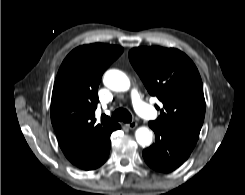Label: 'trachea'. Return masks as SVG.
Instances as JSON below:
<instances>
[{"mask_svg":"<svg viewBox=\"0 0 245 195\" xmlns=\"http://www.w3.org/2000/svg\"><path fill=\"white\" fill-rule=\"evenodd\" d=\"M112 119L116 121L130 123L132 121V115L127 109L119 108L113 112Z\"/></svg>","mask_w":245,"mask_h":195,"instance_id":"3493384b","label":"trachea"}]
</instances>
